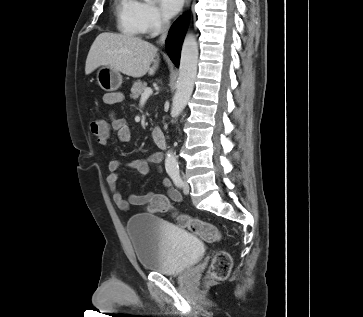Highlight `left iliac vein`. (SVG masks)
Instances as JSON below:
<instances>
[{"label": "left iliac vein", "mask_w": 363, "mask_h": 317, "mask_svg": "<svg viewBox=\"0 0 363 317\" xmlns=\"http://www.w3.org/2000/svg\"><path fill=\"white\" fill-rule=\"evenodd\" d=\"M189 190H190L189 184L186 181H184L183 182V192L185 194H188L189 193Z\"/></svg>", "instance_id": "obj_1"}]
</instances>
